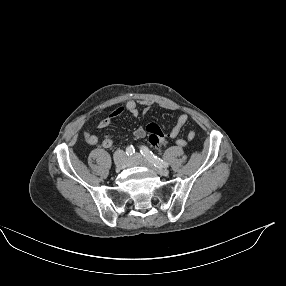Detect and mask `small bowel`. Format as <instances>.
<instances>
[{
  "label": "small bowel",
  "instance_id": "obj_1",
  "mask_svg": "<svg viewBox=\"0 0 286 286\" xmlns=\"http://www.w3.org/2000/svg\"><path fill=\"white\" fill-rule=\"evenodd\" d=\"M142 104L145 106L146 110H149L152 106V102L150 101H143ZM127 111L128 113H130L132 115V117L137 118L139 116V109H138V103L137 101L130 99L126 102L125 106H120L118 108H116L115 110H113L108 116H106L105 118H103L99 124L98 127L99 128H106L108 127L111 122L116 119L117 117H119L120 115H122V113L124 111ZM188 121V115L183 113L180 114L176 120L175 125L173 126V128L170 130L168 137L170 139H175L176 140V145L179 147H185L187 145L188 141H192L195 138V132L194 131H189L187 133V140L184 138H178V135L182 129V127L187 123ZM134 135L137 138H143L146 135V130L142 127L139 126L134 130ZM84 138L85 141L89 144V145H96L99 143V139L96 135L91 134L89 132H84ZM165 140L162 141V143H164ZM113 145V141L111 138H104L102 141V146L104 148H110Z\"/></svg>",
  "mask_w": 286,
  "mask_h": 286
}]
</instances>
